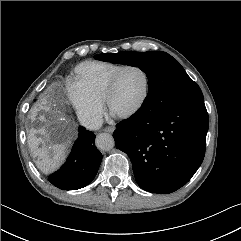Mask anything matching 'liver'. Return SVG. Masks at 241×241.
Returning <instances> with one entry per match:
<instances>
[{
    "label": "liver",
    "instance_id": "6515ba94",
    "mask_svg": "<svg viewBox=\"0 0 241 241\" xmlns=\"http://www.w3.org/2000/svg\"><path fill=\"white\" fill-rule=\"evenodd\" d=\"M40 111L43 113L38 119L44 124L38 130H29L28 145L32 156L36 158L37 167L44 173H50L59 167L65 148L74 139L75 125L65 117L62 111L46 99L32 108L31 118L35 119ZM46 114L49 115V119L46 118ZM37 134H41L42 137H38ZM51 134L56 135V143L50 147L45 145L39 147Z\"/></svg>",
    "mask_w": 241,
    "mask_h": 241
}]
</instances>
